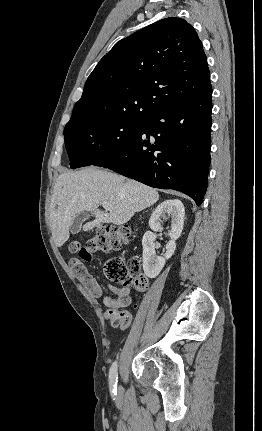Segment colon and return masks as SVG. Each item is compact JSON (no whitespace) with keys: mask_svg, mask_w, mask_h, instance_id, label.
<instances>
[{"mask_svg":"<svg viewBox=\"0 0 262 431\" xmlns=\"http://www.w3.org/2000/svg\"><path fill=\"white\" fill-rule=\"evenodd\" d=\"M132 237L129 227H114L101 225L83 243L72 242L70 252L78 255V261H90L92 256L98 252H109L121 248L127 244ZM75 271H80V264L76 265ZM104 276L111 282L123 285H133L137 291L146 288V279L140 272V261L136 258L124 260L121 258H110L103 265ZM111 325L118 328H127L131 318L127 312L121 311L108 317Z\"/></svg>","mask_w":262,"mask_h":431,"instance_id":"1","label":"colon"}]
</instances>
